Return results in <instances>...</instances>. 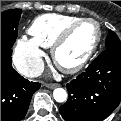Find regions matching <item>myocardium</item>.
<instances>
[{
	"label": "myocardium",
	"mask_w": 121,
	"mask_h": 121,
	"mask_svg": "<svg viewBox=\"0 0 121 121\" xmlns=\"http://www.w3.org/2000/svg\"><path fill=\"white\" fill-rule=\"evenodd\" d=\"M86 22H90L93 23L96 28H97V37L95 40V43L93 44V46L91 47V49L87 52V54L77 63L73 64V65H63L59 62L58 60V50L60 49V47L62 45H64L67 40L69 39V37L71 36V34L83 23ZM102 40V28L100 23L92 18H80L79 20L73 22L72 24H70L68 27H66L60 34L59 36L56 38V40L53 42L52 46H51V56H52V60L54 62V64L56 65V67L61 70L64 73L67 74H74L79 72L80 70H82L87 64L88 62L92 59V57L94 56V54L96 53L100 43Z\"/></svg>",
	"instance_id": "1"
}]
</instances>
